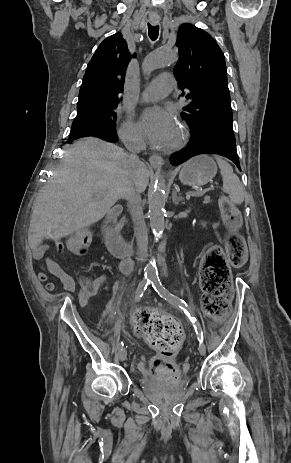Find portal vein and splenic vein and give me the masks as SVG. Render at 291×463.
<instances>
[{
    "instance_id": "portal-vein-and-splenic-vein-1",
    "label": "portal vein and splenic vein",
    "mask_w": 291,
    "mask_h": 463,
    "mask_svg": "<svg viewBox=\"0 0 291 463\" xmlns=\"http://www.w3.org/2000/svg\"><path fill=\"white\" fill-rule=\"evenodd\" d=\"M204 193H205L204 190L192 191V192H188V193H187V196L199 197V196H202Z\"/></svg>"
}]
</instances>
